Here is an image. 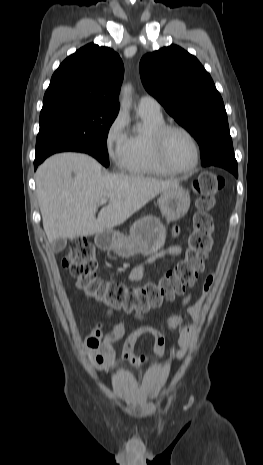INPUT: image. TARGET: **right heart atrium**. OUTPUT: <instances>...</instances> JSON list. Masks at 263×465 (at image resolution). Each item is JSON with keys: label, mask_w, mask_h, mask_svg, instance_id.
Returning <instances> with one entry per match:
<instances>
[{"label": "right heart atrium", "mask_w": 263, "mask_h": 465, "mask_svg": "<svg viewBox=\"0 0 263 465\" xmlns=\"http://www.w3.org/2000/svg\"><path fill=\"white\" fill-rule=\"evenodd\" d=\"M104 147L108 158L118 168H124L127 147L128 134L126 131V121L124 116L119 113L109 123L105 136Z\"/></svg>", "instance_id": "right-heart-atrium-1"}]
</instances>
